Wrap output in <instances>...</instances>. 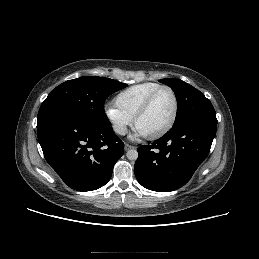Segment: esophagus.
<instances>
[{
    "instance_id": "34e87169",
    "label": "esophagus",
    "mask_w": 259,
    "mask_h": 259,
    "mask_svg": "<svg viewBox=\"0 0 259 259\" xmlns=\"http://www.w3.org/2000/svg\"><path fill=\"white\" fill-rule=\"evenodd\" d=\"M135 148L134 146L130 145V144H125V150H130V149H133Z\"/></svg>"
}]
</instances>
